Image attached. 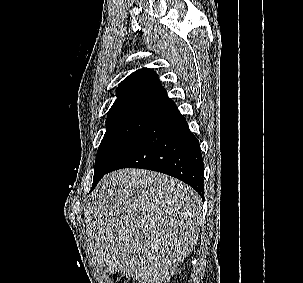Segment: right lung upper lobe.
Masks as SVG:
<instances>
[{"instance_id": "right-lung-upper-lobe-1", "label": "right lung upper lobe", "mask_w": 303, "mask_h": 283, "mask_svg": "<svg viewBox=\"0 0 303 283\" xmlns=\"http://www.w3.org/2000/svg\"><path fill=\"white\" fill-rule=\"evenodd\" d=\"M175 103L167 96L157 74L142 68L124 79L118 87L117 99L108 112V118L147 115L157 118Z\"/></svg>"}]
</instances>
